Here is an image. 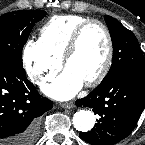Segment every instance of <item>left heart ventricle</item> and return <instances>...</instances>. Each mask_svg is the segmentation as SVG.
Segmentation results:
<instances>
[{"label":"left heart ventricle","instance_id":"left-heart-ventricle-1","mask_svg":"<svg viewBox=\"0 0 145 145\" xmlns=\"http://www.w3.org/2000/svg\"><path fill=\"white\" fill-rule=\"evenodd\" d=\"M106 52L107 39L103 29L97 24H92L84 30L79 46L66 68L86 82L99 72Z\"/></svg>","mask_w":145,"mask_h":145}]
</instances>
